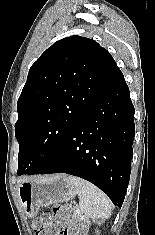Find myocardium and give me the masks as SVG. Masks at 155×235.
Listing matches in <instances>:
<instances>
[{"mask_svg": "<svg viewBox=\"0 0 155 235\" xmlns=\"http://www.w3.org/2000/svg\"><path fill=\"white\" fill-rule=\"evenodd\" d=\"M49 154V148L46 146H39L33 152L35 159H43Z\"/></svg>", "mask_w": 155, "mask_h": 235, "instance_id": "f54148a6", "label": "myocardium"}]
</instances>
